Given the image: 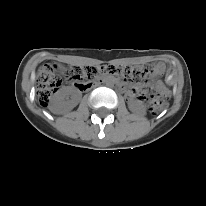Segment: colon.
Segmentation results:
<instances>
[{"label":"colon","mask_w":206,"mask_h":206,"mask_svg":"<svg viewBox=\"0 0 206 206\" xmlns=\"http://www.w3.org/2000/svg\"><path fill=\"white\" fill-rule=\"evenodd\" d=\"M57 67L52 64H44L38 70L37 75V96L40 105L46 106L52 94L61 85L62 80L56 73ZM100 73H109L121 75L131 80L146 79L149 70L146 67L132 68L127 66H73L65 73V79L77 84L84 90L88 87L89 82ZM165 94L150 95L149 107L151 112L157 113L166 105Z\"/></svg>","instance_id":"5ec220e1"}]
</instances>
